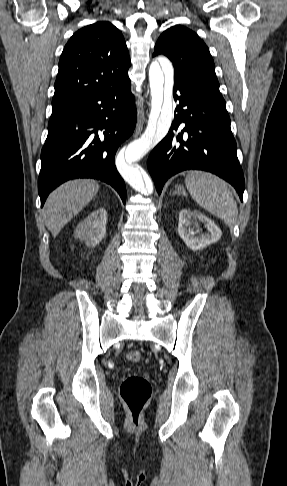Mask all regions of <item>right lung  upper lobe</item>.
Instances as JSON below:
<instances>
[{"mask_svg": "<svg viewBox=\"0 0 287 486\" xmlns=\"http://www.w3.org/2000/svg\"><path fill=\"white\" fill-rule=\"evenodd\" d=\"M130 64L124 37L114 25L100 21L81 28L61 54L52 112L128 83Z\"/></svg>", "mask_w": 287, "mask_h": 486, "instance_id": "obj_1", "label": "right lung upper lobe"}]
</instances>
